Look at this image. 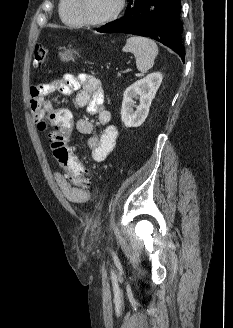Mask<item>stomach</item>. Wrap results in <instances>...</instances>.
<instances>
[{
    "label": "stomach",
    "mask_w": 233,
    "mask_h": 328,
    "mask_svg": "<svg viewBox=\"0 0 233 328\" xmlns=\"http://www.w3.org/2000/svg\"><path fill=\"white\" fill-rule=\"evenodd\" d=\"M60 56L63 61L74 60L73 54L70 51H65L64 53H60Z\"/></svg>",
    "instance_id": "0dacf381"
}]
</instances>
